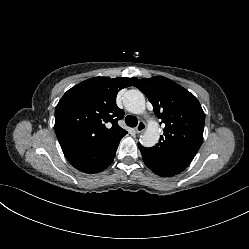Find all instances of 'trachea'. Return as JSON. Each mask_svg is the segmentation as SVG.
Returning a JSON list of instances; mask_svg holds the SVG:
<instances>
[{
	"instance_id": "1",
	"label": "trachea",
	"mask_w": 249,
	"mask_h": 249,
	"mask_svg": "<svg viewBox=\"0 0 249 249\" xmlns=\"http://www.w3.org/2000/svg\"><path fill=\"white\" fill-rule=\"evenodd\" d=\"M125 122L129 127H135L138 124V119L135 116L128 115L125 118Z\"/></svg>"
}]
</instances>
